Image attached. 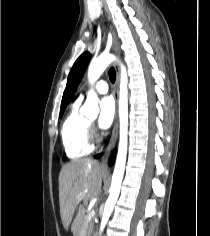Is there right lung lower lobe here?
<instances>
[{"instance_id":"1","label":"right lung lower lobe","mask_w":210,"mask_h":236,"mask_svg":"<svg viewBox=\"0 0 210 236\" xmlns=\"http://www.w3.org/2000/svg\"><path fill=\"white\" fill-rule=\"evenodd\" d=\"M114 151L112 152L111 156H110V159H109V165H112L113 164V160H114Z\"/></svg>"}]
</instances>
